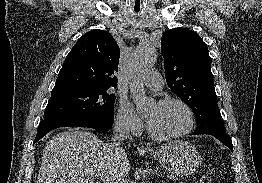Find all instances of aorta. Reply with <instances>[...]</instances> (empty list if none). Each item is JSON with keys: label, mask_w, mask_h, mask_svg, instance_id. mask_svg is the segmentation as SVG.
<instances>
[{"label": "aorta", "mask_w": 262, "mask_h": 183, "mask_svg": "<svg viewBox=\"0 0 262 183\" xmlns=\"http://www.w3.org/2000/svg\"><path fill=\"white\" fill-rule=\"evenodd\" d=\"M155 61L156 51L149 46L138 47L130 58L128 65L130 92L138 111L146 109L153 103V99L145 95L140 78L151 70Z\"/></svg>", "instance_id": "1"}]
</instances>
